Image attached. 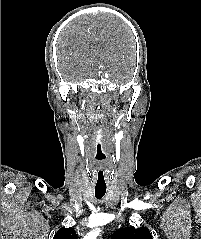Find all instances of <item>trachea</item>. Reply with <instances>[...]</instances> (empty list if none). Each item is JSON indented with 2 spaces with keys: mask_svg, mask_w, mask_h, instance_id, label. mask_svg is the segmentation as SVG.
Masks as SVG:
<instances>
[{
  "mask_svg": "<svg viewBox=\"0 0 201 239\" xmlns=\"http://www.w3.org/2000/svg\"><path fill=\"white\" fill-rule=\"evenodd\" d=\"M106 193V186H96L95 196L97 199H101Z\"/></svg>",
  "mask_w": 201,
  "mask_h": 239,
  "instance_id": "1",
  "label": "trachea"
}]
</instances>
